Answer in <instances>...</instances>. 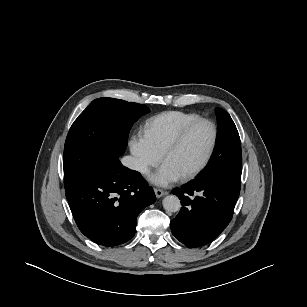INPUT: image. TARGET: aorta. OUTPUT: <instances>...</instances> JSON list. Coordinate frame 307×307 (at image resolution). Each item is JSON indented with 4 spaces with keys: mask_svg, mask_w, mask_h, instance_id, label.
<instances>
[{
    "mask_svg": "<svg viewBox=\"0 0 307 307\" xmlns=\"http://www.w3.org/2000/svg\"><path fill=\"white\" fill-rule=\"evenodd\" d=\"M163 208L167 212H178L181 209L180 199L175 195H168L163 199Z\"/></svg>",
    "mask_w": 307,
    "mask_h": 307,
    "instance_id": "762f6f07",
    "label": "aorta"
}]
</instances>
